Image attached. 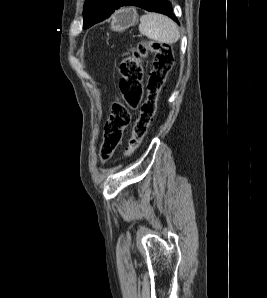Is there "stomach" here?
Segmentation results:
<instances>
[{
  "mask_svg": "<svg viewBox=\"0 0 267 298\" xmlns=\"http://www.w3.org/2000/svg\"><path fill=\"white\" fill-rule=\"evenodd\" d=\"M111 30L120 32L133 26L138 19L137 13L132 8H122L111 17Z\"/></svg>",
  "mask_w": 267,
  "mask_h": 298,
  "instance_id": "0dacf381",
  "label": "stomach"
}]
</instances>
